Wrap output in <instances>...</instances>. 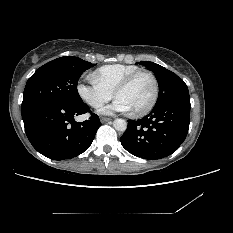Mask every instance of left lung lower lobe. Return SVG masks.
<instances>
[{
    "mask_svg": "<svg viewBox=\"0 0 233 233\" xmlns=\"http://www.w3.org/2000/svg\"><path fill=\"white\" fill-rule=\"evenodd\" d=\"M190 98H179L153 110L144 118L128 121L121 137L131 154L154 160L169 156L185 140L190 123Z\"/></svg>",
    "mask_w": 233,
    "mask_h": 233,
    "instance_id": "left-lung-lower-lobe-1",
    "label": "left lung lower lobe"
}]
</instances>
